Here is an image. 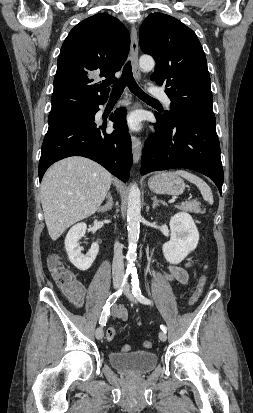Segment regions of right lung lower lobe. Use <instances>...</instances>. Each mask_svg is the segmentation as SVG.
<instances>
[{
  "instance_id": "right-lung-lower-lobe-1",
  "label": "right lung lower lobe",
  "mask_w": 253,
  "mask_h": 413,
  "mask_svg": "<svg viewBox=\"0 0 253 413\" xmlns=\"http://www.w3.org/2000/svg\"><path fill=\"white\" fill-rule=\"evenodd\" d=\"M104 102L91 107L92 115L86 120L48 129L39 163L40 181L50 165L69 156L90 158L123 182L128 181L133 157L125 109L120 108L111 114L110 119L117 131L107 134V122L102 125L94 122L95 114L99 110L98 105Z\"/></svg>"
}]
</instances>
